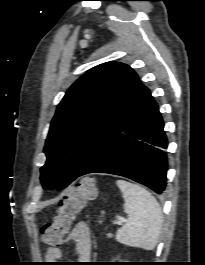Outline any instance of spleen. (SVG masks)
Listing matches in <instances>:
<instances>
[{"label":"spleen","instance_id":"spleen-1","mask_svg":"<svg viewBox=\"0 0 205 265\" xmlns=\"http://www.w3.org/2000/svg\"><path fill=\"white\" fill-rule=\"evenodd\" d=\"M124 198L127 222L118 230L116 240L124 245L153 250L162 229V211L159 203L144 187L118 180Z\"/></svg>","mask_w":205,"mask_h":265}]
</instances>
